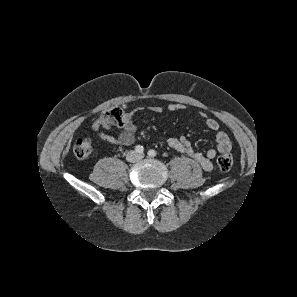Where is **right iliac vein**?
<instances>
[{
    "label": "right iliac vein",
    "instance_id": "63e3f726",
    "mask_svg": "<svg viewBox=\"0 0 297 297\" xmlns=\"http://www.w3.org/2000/svg\"><path fill=\"white\" fill-rule=\"evenodd\" d=\"M131 158H134L135 157V154L134 153H130L129 155Z\"/></svg>",
    "mask_w": 297,
    "mask_h": 297
}]
</instances>
